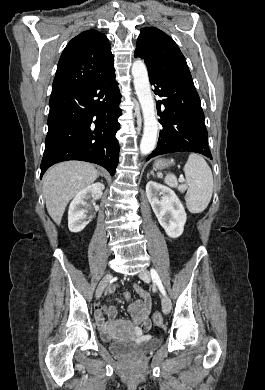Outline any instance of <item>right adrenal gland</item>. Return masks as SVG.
I'll use <instances>...</instances> for the list:
<instances>
[{"instance_id":"right-adrenal-gland-1","label":"right adrenal gland","mask_w":265,"mask_h":390,"mask_svg":"<svg viewBox=\"0 0 265 390\" xmlns=\"http://www.w3.org/2000/svg\"><path fill=\"white\" fill-rule=\"evenodd\" d=\"M98 176H101V177H103V176H104V174H103L102 172H98Z\"/></svg>"}]
</instances>
